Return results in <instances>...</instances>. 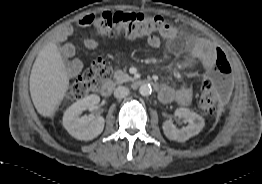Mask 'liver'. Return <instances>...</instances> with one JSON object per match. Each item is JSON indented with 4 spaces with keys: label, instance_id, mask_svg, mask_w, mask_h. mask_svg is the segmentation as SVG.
Wrapping results in <instances>:
<instances>
[{
    "label": "liver",
    "instance_id": "6515ba94",
    "mask_svg": "<svg viewBox=\"0 0 262 184\" xmlns=\"http://www.w3.org/2000/svg\"><path fill=\"white\" fill-rule=\"evenodd\" d=\"M29 85L37 112L44 117H52L69 88V77L55 42L48 43L39 52Z\"/></svg>",
    "mask_w": 262,
    "mask_h": 184
}]
</instances>
